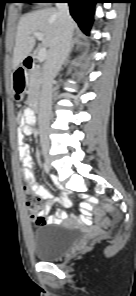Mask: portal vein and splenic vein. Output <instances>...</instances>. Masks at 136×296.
I'll list each match as a JSON object with an SVG mask.
<instances>
[{
    "label": "portal vein and splenic vein",
    "mask_w": 136,
    "mask_h": 296,
    "mask_svg": "<svg viewBox=\"0 0 136 296\" xmlns=\"http://www.w3.org/2000/svg\"><path fill=\"white\" fill-rule=\"evenodd\" d=\"M33 35L40 41L43 39V34L41 32H33ZM47 57V49L46 47H40L38 51V61L41 63L46 60Z\"/></svg>",
    "instance_id": "obj_1"
}]
</instances>
